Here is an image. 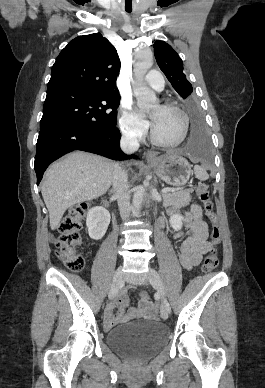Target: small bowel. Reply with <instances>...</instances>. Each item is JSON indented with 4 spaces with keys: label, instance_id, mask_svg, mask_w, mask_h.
Listing matches in <instances>:
<instances>
[{
    "label": "small bowel",
    "instance_id": "c3829d8e",
    "mask_svg": "<svg viewBox=\"0 0 265 388\" xmlns=\"http://www.w3.org/2000/svg\"><path fill=\"white\" fill-rule=\"evenodd\" d=\"M182 214L184 218L185 227L190 230L191 234L185 238L179 247V261L181 265L191 270L195 266L199 265L203 255L208 253L212 244L207 241V225L203 219V212L198 204H193L190 210L181 213L177 209H171L170 215L176 216ZM182 232H176L172 234L173 238H180ZM131 287L122 289L118 296L107 305L104 312V322L106 328H111L114 325L127 321L129 318L137 317L139 314H143L150 317L152 314V306L145 302L141 303L139 311H132L130 315H125V307L129 303V290ZM117 309V313L115 310Z\"/></svg>",
    "mask_w": 265,
    "mask_h": 388
}]
</instances>
